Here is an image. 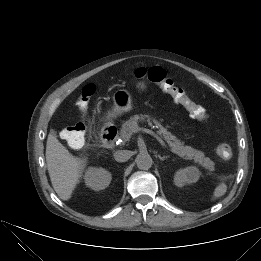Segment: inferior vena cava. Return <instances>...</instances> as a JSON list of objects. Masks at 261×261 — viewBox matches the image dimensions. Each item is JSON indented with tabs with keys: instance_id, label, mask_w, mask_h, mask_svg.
Returning a JSON list of instances; mask_svg holds the SVG:
<instances>
[{
	"instance_id": "602c4592",
	"label": "inferior vena cava",
	"mask_w": 261,
	"mask_h": 261,
	"mask_svg": "<svg viewBox=\"0 0 261 261\" xmlns=\"http://www.w3.org/2000/svg\"><path fill=\"white\" fill-rule=\"evenodd\" d=\"M131 157V152L128 150H118L114 153V158L117 162H126Z\"/></svg>"
}]
</instances>
